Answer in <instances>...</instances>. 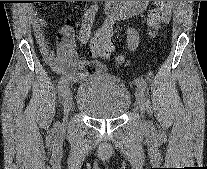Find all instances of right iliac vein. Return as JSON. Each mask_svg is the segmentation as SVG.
<instances>
[{"mask_svg":"<svg viewBox=\"0 0 207 169\" xmlns=\"http://www.w3.org/2000/svg\"><path fill=\"white\" fill-rule=\"evenodd\" d=\"M63 107H64V119L62 122V127L66 125L68 113L72 107V91L70 88H66L63 94Z\"/></svg>","mask_w":207,"mask_h":169,"instance_id":"obj_1","label":"right iliac vein"}]
</instances>
